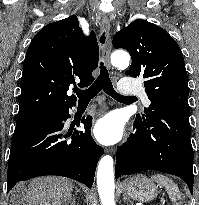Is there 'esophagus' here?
<instances>
[{"label":"esophagus","mask_w":199,"mask_h":205,"mask_svg":"<svg viewBox=\"0 0 199 205\" xmlns=\"http://www.w3.org/2000/svg\"><path fill=\"white\" fill-rule=\"evenodd\" d=\"M102 31L106 32V42L104 44L103 52H102V57L104 62L110 67V53H111V45L109 41V36H110V20L108 18H103L100 23ZM106 152L114 154L116 152L115 147H110L106 148Z\"/></svg>","instance_id":"34e87169"}]
</instances>
